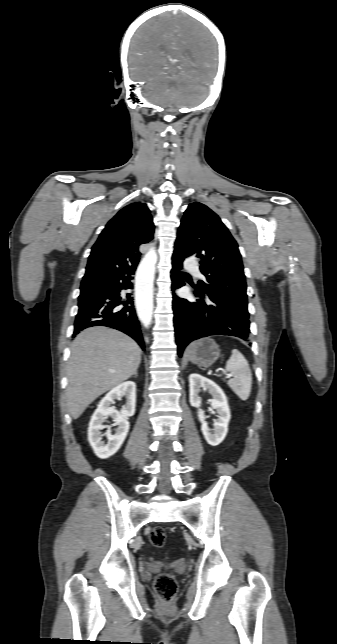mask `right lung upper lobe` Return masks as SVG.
<instances>
[{
    "mask_svg": "<svg viewBox=\"0 0 337 644\" xmlns=\"http://www.w3.org/2000/svg\"><path fill=\"white\" fill-rule=\"evenodd\" d=\"M154 224L146 204L121 209L92 247L82 283L105 281L129 266H137L139 246L153 239Z\"/></svg>",
    "mask_w": 337,
    "mask_h": 644,
    "instance_id": "1",
    "label": "right lung upper lobe"
}]
</instances>
